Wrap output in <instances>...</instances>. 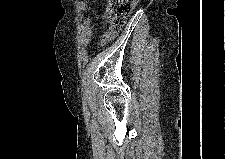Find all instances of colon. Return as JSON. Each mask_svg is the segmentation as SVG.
Here are the masks:
<instances>
[{
	"label": "colon",
	"instance_id": "obj_1",
	"mask_svg": "<svg viewBox=\"0 0 225 159\" xmlns=\"http://www.w3.org/2000/svg\"><path fill=\"white\" fill-rule=\"evenodd\" d=\"M137 0H109L106 9V20L109 30L113 33L118 32L126 19L133 10Z\"/></svg>",
	"mask_w": 225,
	"mask_h": 159
}]
</instances>
